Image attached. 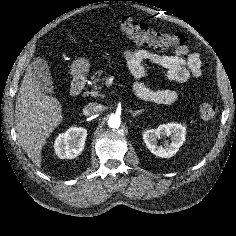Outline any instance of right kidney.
Instances as JSON below:
<instances>
[{
  "label": "right kidney",
  "mask_w": 236,
  "mask_h": 236,
  "mask_svg": "<svg viewBox=\"0 0 236 236\" xmlns=\"http://www.w3.org/2000/svg\"><path fill=\"white\" fill-rule=\"evenodd\" d=\"M87 130L83 127H71L65 133L59 134L55 139L54 149L61 158L73 159L84 149Z\"/></svg>",
  "instance_id": "1"
}]
</instances>
